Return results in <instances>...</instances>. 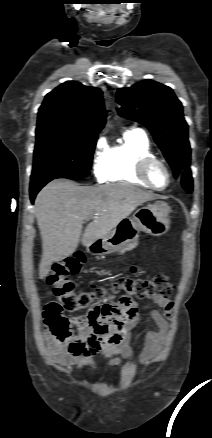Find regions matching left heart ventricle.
I'll use <instances>...</instances> for the list:
<instances>
[{"label": "left heart ventricle", "mask_w": 212, "mask_h": 438, "mask_svg": "<svg viewBox=\"0 0 212 438\" xmlns=\"http://www.w3.org/2000/svg\"><path fill=\"white\" fill-rule=\"evenodd\" d=\"M149 180L157 187L162 188L168 182V176L165 169L160 164H152L148 170Z\"/></svg>", "instance_id": "obj_1"}]
</instances>
